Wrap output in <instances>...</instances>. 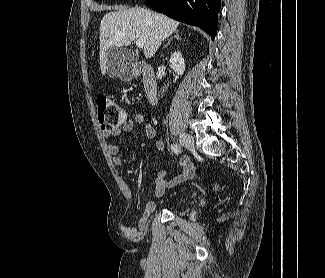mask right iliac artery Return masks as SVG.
<instances>
[{
    "mask_svg": "<svg viewBox=\"0 0 325 278\" xmlns=\"http://www.w3.org/2000/svg\"><path fill=\"white\" fill-rule=\"evenodd\" d=\"M171 150L176 154H179V153L182 152L181 147L179 145H177V144H172L171 145Z\"/></svg>",
    "mask_w": 325,
    "mask_h": 278,
    "instance_id": "right-iliac-artery-1",
    "label": "right iliac artery"
}]
</instances>
